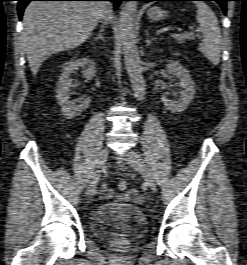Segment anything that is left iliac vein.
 I'll return each mask as SVG.
<instances>
[{
	"label": "left iliac vein",
	"mask_w": 247,
	"mask_h": 265,
	"mask_svg": "<svg viewBox=\"0 0 247 265\" xmlns=\"http://www.w3.org/2000/svg\"><path fill=\"white\" fill-rule=\"evenodd\" d=\"M126 157L131 166L136 169L144 178L146 185L153 191H156V184L151 175L148 167L141 159V157L134 151L129 150L126 152Z\"/></svg>",
	"instance_id": "1"
}]
</instances>
